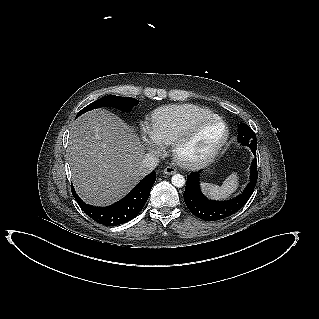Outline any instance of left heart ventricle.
I'll return each mask as SVG.
<instances>
[{
    "instance_id": "b2bd125f",
    "label": "left heart ventricle",
    "mask_w": 319,
    "mask_h": 319,
    "mask_svg": "<svg viewBox=\"0 0 319 319\" xmlns=\"http://www.w3.org/2000/svg\"><path fill=\"white\" fill-rule=\"evenodd\" d=\"M223 128L219 123L205 126L196 138L185 148L188 156H198L208 151L222 136Z\"/></svg>"
}]
</instances>
